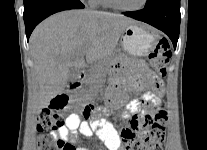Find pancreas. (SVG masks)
<instances>
[{"instance_id":"1","label":"pancreas","mask_w":207,"mask_h":150,"mask_svg":"<svg viewBox=\"0 0 207 150\" xmlns=\"http://www.w3.org/2000/svg\"><path fill=\"white\" fill-rule=\"evenodd\" d=\"M106 72H107V70H106V65L105 64H103V63L96 64L94 69H93L94 75L88 81V84H90L91 86H93L95 84H100L102 82V78L105 76ZM93 88L94 87H90V89L87 90V92L92 93Z\"/></svg>"}]
</instances>
